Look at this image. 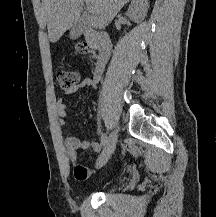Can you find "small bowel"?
<instances>
[{"label": "small bowel", "instance_id": "small-bowel-1", "mask_svg": "<svg viewBox=\"0 0 216 217\" xmlns=\"http://www.w3.org/2000/svg\"><path fill=\"white\" fill-rule=\"evenodd\" d=\"M103 71H99L96 74H93L91 77H87L82 80V82L76 86L74 89L66 91L64 93V97H69L77 94L78 92L90 88L94 89L97 86L98 81L101 78ZM64 97H60L56 101V110L59 116V123L61 125H65L66 117H67V106L65 104ZM64 146L67 153L68 158L74 164V170L78 169L79 174H75L76 179L80 181H84L90 177V171L86 167L80 165L79 163V151L85 149H93L95 152H100L101 145L95 140H82L76 136H67L64 139Z\"/></svg>", "mask_w": 216, "mask_h": 217}]
</instances>
